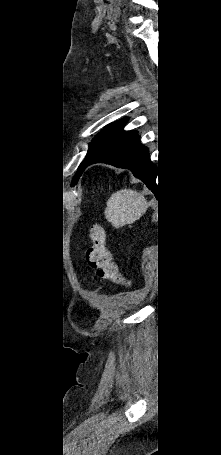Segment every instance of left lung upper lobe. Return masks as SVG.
I'll return each instance as SVG.
<instances>
[{
	"mask_svg": "<svg viewBox=\"0 0 221 455\" xmlns=\"http://www.w3.org/2000/svg\"><path fill=\"white\" fill-rule=\"evenodd\" d=\"M125 119L112 123L98 134L89 145L88 152L86 154L85 160L80 164L77 174L75 175L73 181H76L82 174L85 165L97 154L99 153L109 142L114 138L120 135L124 126Z\"/></svg>",
	"mask_w": 221,
	"mask_h": 455,
	"instance_id": "obj_1",
	"label": "left lung upper lobe"
}]
</instances>
